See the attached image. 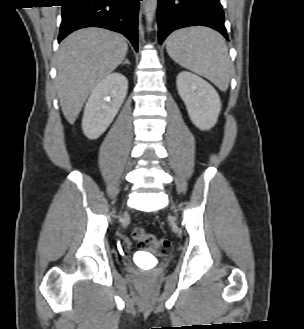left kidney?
<instances>
[{
  "label": "left kidney",
  "mask_w": 304,
  "mask_h": 329,
  "mask_svg": "<svg viewBox=\"0 0 304 329\" xmlns=\"http://www.w3.org/2000/svg\"><path fill=\"white\" fill-rule=\"evenodd\" d=\"M177 90L197 128L205 131L215 126L221 101L212 85L193 73L182 71L177 76Z\"/></svg>",
  "instance_id": "1"
}]
</instances>
